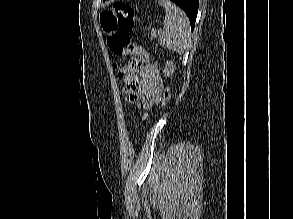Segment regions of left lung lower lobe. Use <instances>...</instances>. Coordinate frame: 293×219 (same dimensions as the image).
I'll return each mask as SVG.
<instances>
[{"label":"left lung lower lobe","instance_id":"0a47b994","mask_svg":"<svg viewBox=\"0 0 293 219\" xmlns=\"http://www.w3.org/2000/svg\"><path fill=\"white\" fill-rule=\"evenodd\" d=\"M171 1L177 4L187 14L190 20L191 30L193 31L197 12H198L199 0H171Z\"/></svg>","mask_w":293,"mask_h":219}]
</instances>
